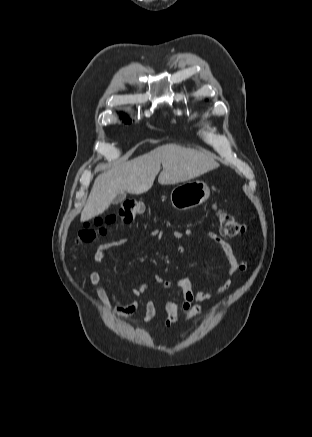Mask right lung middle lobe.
Here are the masks:
<instances>
[{"mask_svg":"<svg viewBox=\"0 0 312 437\" xmlns=\"http://www.w3.org/2000/svg\"><path fill=\"white\" fill-rule=\"evenodd\" d=\"M125 123H130V121H128V120H125Z\"/></svg>","mask_w":312,"mask_h":437,"instance_id":"right-lung-middle-lobe-1","label":"right lung middle lobe"}]
</instances>
